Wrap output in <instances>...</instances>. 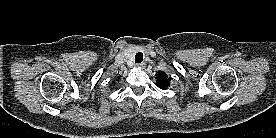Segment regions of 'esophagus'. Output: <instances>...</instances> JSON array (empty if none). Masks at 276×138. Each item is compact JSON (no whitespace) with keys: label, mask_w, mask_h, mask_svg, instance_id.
Segmentation results:
<instances>
[{"label":"esophagus","mask_w":276,"mask_h":138,"mask_svg":"<svg viewBox=\"0 0 276 138\" xmlns=\"http://www.w3.org/2000/svg\"><path fill=\"white\" fill-rule=\"evenodd\" d=\"M137 66H138L139 68H145L146 64H145V63H139V64H137Z\"/></svg>","instance_id":"obj_1"}]
</instances>
